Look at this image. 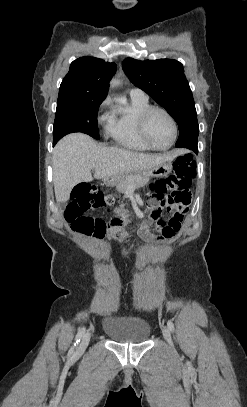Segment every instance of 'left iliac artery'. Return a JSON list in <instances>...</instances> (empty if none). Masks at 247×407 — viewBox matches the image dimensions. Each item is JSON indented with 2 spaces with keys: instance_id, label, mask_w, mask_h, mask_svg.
Here are the masks:
<instances>
[{
  "instance_id": "1",
  "label": "left iliac artery",
  "mask_w": 247,
  "mask_h": 407,
  "mask_svg": "<svg viewBox=\"0 0 247 407\" xmlns=\"http://www.w3.org/2000/svg\"><path fill=\"white\" fill-rule=\"evenodd\" d=\"M167 326H168V328L171 330V331H174V324H173V322L172 321H168L167 322Z\"/></svg>"
}]
</instances>
